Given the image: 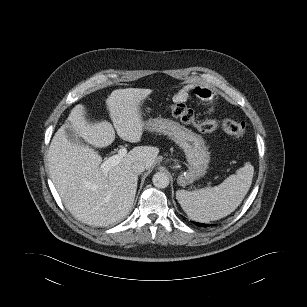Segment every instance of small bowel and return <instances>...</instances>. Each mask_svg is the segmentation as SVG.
<instances>
[{"label":"small bowel","mask_w":307,"mask_h":307,"mask_svg":"<svg viewBox=\"0 0 307 307\" xmlns=\"http://www.w3.org/2000/svg\"><path fill=\"white\" fill-rule=\"evenodd\" d=\"M191 94L196 95L202 100L215 104L217 96L210 88L200 84H190L182 87L174 96L176 102L185 103Z\"/></svg>","instance_id":"obj_1"}]
</instances>
